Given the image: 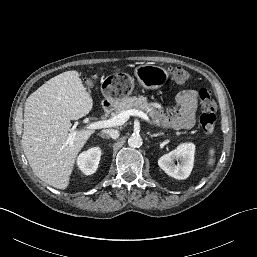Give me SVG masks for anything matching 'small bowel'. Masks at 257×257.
Returning <instances> with one entry per match:
<instances>
[{"mask_svg": "<svg viewBox=\"0 0 257 257\" xmlns=\"http://www.w3.org/2000/svg\"><path fill=\"white\" fill-rule=\"evenodd\" d=\"M178 110L175 116H161V122L166 127L174 129L191 128L196 120L198 97L194 90H183L177 94Z\"/></svg>", "mask_w": 257, "mask_h": 257, "instance_id": "1", "label": "small bowel"}]
</instances>
